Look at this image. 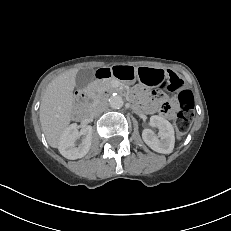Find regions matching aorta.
I'll return each instance as SVG.
<instances>
[{"mask_svg":"<svg viewBox=\"0 0 231 231\" xmlns=\"http://www.w3.org/2000/svg\"><path fill=\"white\" fill-rule=\"evenodd\" d=\"M109 104L113 109H120L124 102L120 95L114 94L109 98Z\"/></svg>","mask_w":231,"mask_h":231,"instance_id":"762f6f07","label":"aorta"}]
</instances>
